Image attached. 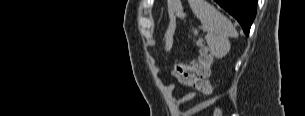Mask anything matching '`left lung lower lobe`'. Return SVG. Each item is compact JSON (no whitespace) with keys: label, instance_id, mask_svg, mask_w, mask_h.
Masks as SVG:
<instances>
[{"label":"left lung lower lobe","instance_id":"obj_1","mask_svg":"<svg viewBox=\"0 0 305 116\" xmlns=\"http://www.w3.org/2000/svg\"><path fill=\"white\" fill-rule=\"evenodd\" d=\"M242 26L246 35H249L250 27L256 16L257 0H215Z\"/></svg>","mask_w":305,"mask_h":116}]
</instances>
